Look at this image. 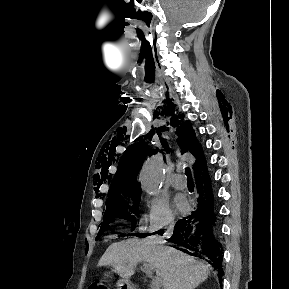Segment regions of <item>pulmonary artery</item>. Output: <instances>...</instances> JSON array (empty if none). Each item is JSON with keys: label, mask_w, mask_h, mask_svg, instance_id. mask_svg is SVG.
Listing matches in <instances>:
<instances>
[{"label": "pulmonary artery", "mask_w": 289, "mask_h": 289, "mask_svg": "<svg viewBox=\"0 0 289 289\" xmlns=\"http://www.w3.org/2000/svg\"><path fill=\"white\" fill-rule=\"evenodd\" d=\"M170 183L176 189H184L187 186V182L180 172H176L172 175Z\"/></svg>", "instance_id": "obj_1"}]
</instances>
